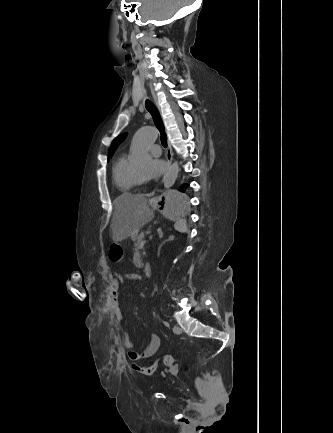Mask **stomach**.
<instances>
[{
    "mask_svg": "<svg viewBox=\"0 0 333 433\" xmlns=\"http://www.w3.org/2000/svg\"><path fill=\"white\" fill-rule=\"evenodd\" d=\"M153 206L161 209L163 220H183L189 203L184 199L183 190H178L177 186H168L166 195L163 196V199L154 200ZM130 236L136 237L137 234Z\"/></svg>",
    "mask_w": 333,
    "mask_h": 433,
    "instance_id": "stomach-1",
    "label": "stomach"
}]
</instances>
